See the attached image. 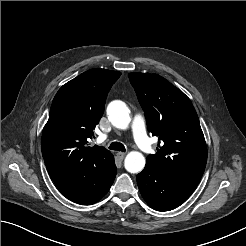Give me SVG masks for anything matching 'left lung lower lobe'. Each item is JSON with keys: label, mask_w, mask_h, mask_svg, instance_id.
I'll return each instance as SVG.
<instances>
[{"label": "left lung lower lobe", "mask_w": 246, "mask_h": 246, "mask_svg": "<svg viewBox=\"0 0 246 246\" xmlns=\"http://www.w3.org/2000/svg\"><path fill=\"white\" fill-rule=\"evenodd\" d=\"M136 179L144 200L157 211H169L180 206L200 181L186 174L146 166Z\"/></svg>", "instance_id": "1"}]
</instances>
